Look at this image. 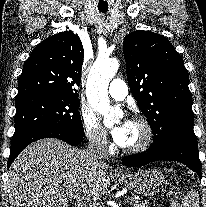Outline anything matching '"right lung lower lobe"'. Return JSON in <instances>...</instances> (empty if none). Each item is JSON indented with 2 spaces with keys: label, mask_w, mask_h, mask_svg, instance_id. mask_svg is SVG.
Masks as SVG:
<instances>
[{
  "label": "right lung lower lobe",
  "mask_w": 206,
  "mask_h": 207,
  "mask_svg": "<svg viewBox=\"0 0 206 207\" xmlns=\"http://www.w3.org/2000/svg\"><path fill=\"white\" fill-rule=\"evenodd\" d=\"M84 136H76L57 129H44L35 131L22 139L12 142L10 148V156L8 158V168L18 156V154L30 143L43 138H58L67 142L70 145H77L83 141Z\"/></svg>",
  "instance_id": "obj_1"
}]
</instances>
